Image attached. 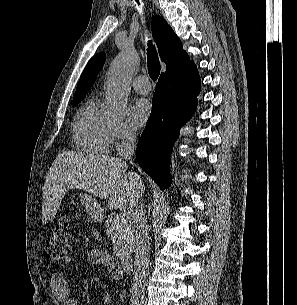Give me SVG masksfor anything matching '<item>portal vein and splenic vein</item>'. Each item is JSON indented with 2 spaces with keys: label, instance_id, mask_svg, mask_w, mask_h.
Returning a JSON list of instances; mask_svg holds the SVG:
<instances>
[{
  "label": "portal vein and splenic vein",
  "instance_id": "18ae733b",
  "mask_svg": "<svg viewBox=\"0 0 297 305\" xmlns=\"http://www.w3.org/2000/svg\"><path fill=\"white\" fill-rule=\"evenodd\" d=\"M123 216H129V213H123Z\"/></svg>",
  "mask_w": 297,
  "mask_h": 305
}]
</instances>
